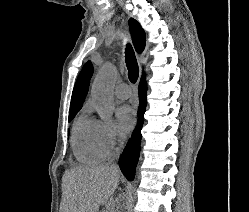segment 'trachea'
I'll list each match as a JSON object with an SVG mask.
<instances>
[{
  "label": "trachea",
  "instance_id": "1",
  "mask_svg": "<svg viewBox=\"0 0 249 212\" xmlns=\"http://www.w3.org/2000/svg\"><path fill=\"white\" fill-rule=\"evenodd\" d=\"M126 65L130 82L136 83L139 75V68L131 45L126 48Z\"/></svg>",
  "mask_w": 249,
  "mask_h": 212
}]
</instances>
